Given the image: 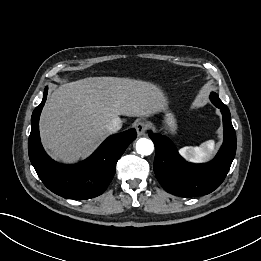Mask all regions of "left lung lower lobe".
Returning a JSON list of instances; mask_svg holds the SVG:
<instances>
[{"mask_svg": "<svg viewBox=\"0 0 261 261\" xmlns=\"http://www.w3.org/2000/svg\"><path fill=\"white\" fill-rule=\"evenodd\" d=\"M223 116L224 141L216 157L206 164L185 161L173 142L158 133H149L155 144L154 171L157 180L169 193L182 197L206 195L224 181L236 153V134L226 105H215Z\"/></svg>", "mask_w": 261, "mask_h": 261, "instance_id": "left-lung-lower-lobe-1", "label": "left lung lower lobe"}]
</instances>
